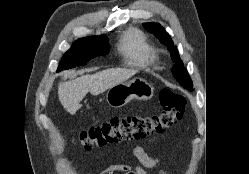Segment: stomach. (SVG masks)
I'll use <instances>...</instances> for the list:
<instances>
[{
  "mask_svg": "<svg viewBox=\"0 0 249 174\" xmlns=\"http://www.w3.org/2000/svg\"><path fill=\"white\" fill-rule=\"evenodd\" d=\"M153 87L142 78H134L111 87L106 101L111 107H123L132 99L148 100L153 96Z\"/></svg>",
  "mask_w": 249,
  "mask_h": 174,
  "instance_id": "1",
  "label": "stomach"
}]
</instances>
